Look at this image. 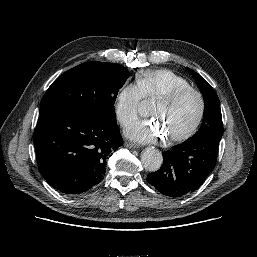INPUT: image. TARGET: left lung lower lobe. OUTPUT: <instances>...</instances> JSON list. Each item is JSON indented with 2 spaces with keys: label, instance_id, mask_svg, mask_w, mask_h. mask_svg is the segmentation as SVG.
Returning a JSON list of instances; mask_svg holds the SVG:
<instances>
[{
  "label": "left lung lower lobe",
  "instance_id": "0a47b994",
  "mask_svg": "<svg viewBox=\"0 0 257 257\" xmlns=\"http://www.w3.org/2000/svg\"><path fill=\"white\" fill-rule=\"evenodd\" d=\"M218 140H186L163 153L162 167L147 176L160 193L181 197L198 189L216 165Z\"/></svg>",
  "mask_w": 257,
  "mask_h": 257
}]
</instances>
